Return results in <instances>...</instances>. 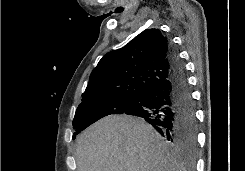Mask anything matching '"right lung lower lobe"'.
Wrapping results in <instances>:
<instances>
[{
	"mask_svg": "<svg viewBox=\"0 0 245 171\" xmlns=\"http://www.w3.org/2000/svg\"><path fill=\"white\" fill-rule=\"evenodd\" d=\"M168 61L169 77L145 91L124 114L142 117L180 152L193 156L197 143L195 105L184 65L172 45Z\"/></svg>",
	"mask_w": 245,
	"mask_h": 171,
	"instance_id": "obj_1",
	"label": "right lung lower lobe"
}]
</instances>
